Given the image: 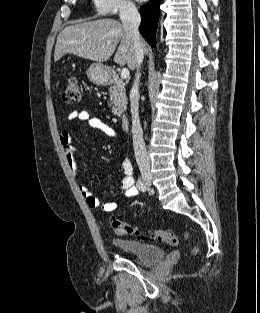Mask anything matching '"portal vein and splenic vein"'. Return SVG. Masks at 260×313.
Segmentation results:
<instances>
[{"label": "portal vein and splenic vein", "instance_id": "portal-vein-and-splenic-vein-1", "mask_svg": "<svg viewBox=\"0 0 260 313\" xmlns=\"http://www.w3.org/2000/svg\"><path fill=\"white\" fill-rule=\"evenodd\" d=\"M130 75V72L127 68H123L121 71V78L122 79H127Z\"/></svg>", "mask_w": 260, "mask_h": 313}]
</instances>
